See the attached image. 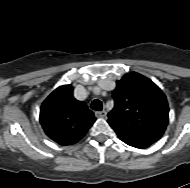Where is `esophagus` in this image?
Masks as SVG:
<instances>
[{"label": "esophagus", "instance_id": "1", "mask_svg": "<svg viewBox=\"0 0 190 188\" xmlns=\"http://www.w3.org/2000/svg\"><path fill=\"white\" fill-rule=\"evenodd\" d=\"M95 116L97 117V118H106V116H107V113H106V111H96L95 112Z\"/></svg>", "mask_w": 190, "mask_h": 188}]
</instances>
